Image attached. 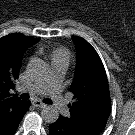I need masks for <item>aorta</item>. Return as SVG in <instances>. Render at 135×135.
Segmentation results:
<instances>
[{
  "label": "aorta",
  "instance_id": "obj_1",
  "mask_svg": "<svg viewBox=\"0 0 135 135\" xmlns=\"http://www.w3.org/2000/svg\"><path fill=\"white\" fill-rule=\"evenodd\" d=\"M27 70L29 74L35 79H41L48 75V65L39 58L32 59L28 65ZM41 117L46 123H54L59 118V111L55 106H46L41 111Z\"/></svg>",
  "mask_w": 135,
  "mask_h": 135
}]
</instances>
